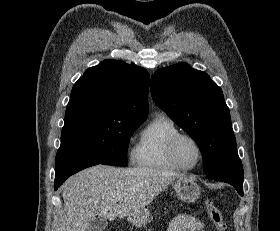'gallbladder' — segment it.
I'll use <instances>...</instances> for the list:
<instances>
[{"mask_svg": "<svg viewBox=\"0 0 280 231\" xmlns=\"http://www.w3.org/2000/svg\"><path fill=\"white\" fill-rule=\"evenodd\" d=\"M107 225L108 221L105 217H95L89 221L86 231H102Z\"/></svg>", "mask_w": 280, "mask_h": 231, "instance_id": "bac80fb5", "label": "gallbladder"}]
</instances>
